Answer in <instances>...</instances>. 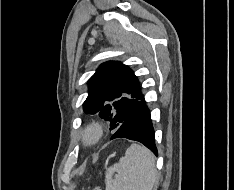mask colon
Returning <instances> with one entry per match:
<instances>
[{"label": "colon", "instance_id": "1", "mask_svg": "<svg viewBox=\"0 0 234 190\" xmlns=\"http://www.w3.org/2000/svg\"><path fill=\"white\" fill-rule=\"evenodd\" d=\"M90 190H101L99 187H96L94 189H90Z\"/></svg>", "mask_w": 234, "mask_h": 190}]
</instances>
